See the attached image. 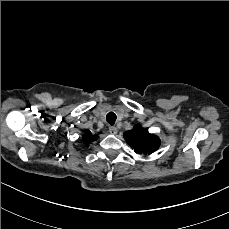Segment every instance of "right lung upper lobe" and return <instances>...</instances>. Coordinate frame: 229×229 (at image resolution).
I'll return each mask as SVG.
<instances>
[{"label": "right lung upper lobe", "mask_w": 229, "mask_h": 229, "mask_svg": "<svg viewBox=\"0 0 229 229\" xmlns=\"http://www.w3.org/2000/svg\"><path fill=\"white\" fill-rule=\"evenodd\" d=\"M82 139H83V143L92 142V141L97 140V135L94 136V135L91 134L90 131H86L83 134Z\"/></svg>", "instance_id": "obj_1"}]
</instances>
